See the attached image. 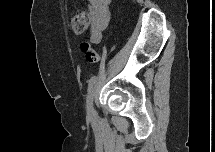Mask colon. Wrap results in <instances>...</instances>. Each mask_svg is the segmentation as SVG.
<instances>
[{
    "instance_id": "5ec220e1",
    "label": "colon",
    "mask_w": 215,
    "mask_h": 152,
    "mask_svg": "<svg viewBox=\"0 0 215 152\" xmlns=\"http://www.w3.org/2000/svg\"><path fill=\"white\" fill-rule=\"evenodd\" d=\"M90 16L86 11L76 13L71 21L72 29L76 34L84 33L89 25ZM81 51L84 54L86 61L90 64H95L99 61L97 51L87 41H83L80 45Z\"/></svg>"
}]
</instances>
